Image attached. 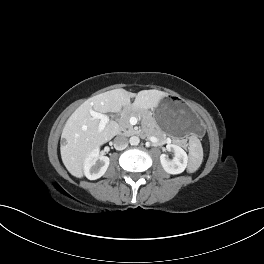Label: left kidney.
<instances>
[{
    "instance_id": "5707ae66",
    "label": "left kidney",
    "mask_w": 264,
    "mask_h": 264,
    "mask_svg": "<svg viewBox=\"0 0 264 264\" xmlns=\"http://www.w3.org/2000/svg\"><path fill=\"white\" fill-rule=\"evenodd\" d=\"M166 149L174 153L173 159L166 154H161L160 162L163 169L169 174H180L188 165V156L186 152L176 144H167Z\"/></svg>"
}]
</instances>
